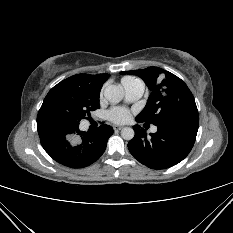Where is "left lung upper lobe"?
Wrapping results in <instances>:
<instances>
[{
    "label": "left lung upper lobe",
    "mask_w": 233,
    "mask_h": 233,
    "mask_svg": "<svg viewBox=\"0 0 233 233\" xmlns=\"http://www.w3.org/2000/svg\"><path fill=\"white\" fill-rule=\"evenodd\" d=\"M121 74L139 76L151 90L147 104L136 117L137 120L157 126L198 119V110L191 91L174 74L158 67L123 71Z\"/></svg>",
    "instance_id": "left-lung-upper-lobe-1"
}]
</instances>
